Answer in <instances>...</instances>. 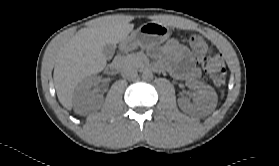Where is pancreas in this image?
I'll use <instances>...</instances> for the list:
<instances>
[{
    "mask_svg": "<svg viewBox=\"0 0 279 166\" xmlns=\"http://www.w3.org/2000/svg\"><path fill=\"white\" fill-rule=\"evenodd\" d=\"M119 61L121 67L124 68H139L143 65V60L137 54H128L126 56H120Z\"/></svg>",
    "mask_w": 279,
    "mask_h": 166,
    "instance_id": "1",
    "label": "pancreas"
}]
</instances>
